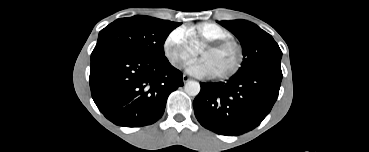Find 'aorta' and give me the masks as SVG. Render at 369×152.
Segmentation results:
<instances>
[{
	"label": "aorta",
	"instance_id": "762f6f07",
	"mask_svg": "<svg viewBox=\"0 0 369 152\" xmlns=\"http://www.w3.org/2000/svg\"><path fill=\"white\" fill-rule=\"evenodd\" d=\"M184 91L189 95V96H197L200 92V84L197 81H188L185 85H184Z\"/></svg>",
	"mask_w": 369,
	"mask_h": 152
}]
</instances>
